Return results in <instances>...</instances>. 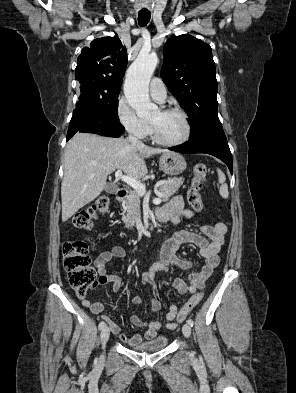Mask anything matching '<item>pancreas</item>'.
I'll return each mask as SVG.
<instances>
[{
	"label": "pancreas",
	"mask_w": 296,
	"mask_h": 393,
	"mask_svg": "<svg viewBox=\"0 0 296 393\" xmlns=\"http://www.w3.org/2000/svg\"><path fill=\"white\" fill-rule=\"evenodd\" d=\"M183 178H173L165 181L161 186V197L163 201H168L169 198L174 195L180 186L183 184ZM141 196L135 191H131L129 196L123 203L124 211L126 215L122 217L126 227H133L136 222L137 215L140 212Z\"/></svg>",
	"instance_id": "pancreas-1"
}]
</instances>
